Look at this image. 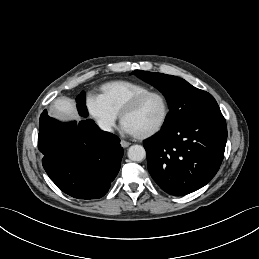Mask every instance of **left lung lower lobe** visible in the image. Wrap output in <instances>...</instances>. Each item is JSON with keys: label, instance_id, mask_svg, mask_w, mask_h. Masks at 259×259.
Masks as SVG:
<instances>
[{"label": "left lung lower lobe", "instance_id": "obj_1", "mask_svg": "<svg viewBox=\"0 0 259 259\" xmlns=\"http://www.w3.org/2000/svg\"><path fill=\"white\" fill-rule=\"evenodd\" d=\"M226 140L222 113L162 129L144 142L149 173L168 194L192 193L219 170Z\"/></svg>", "mask_w": 259, "mask_h": 259}]
</instances>
